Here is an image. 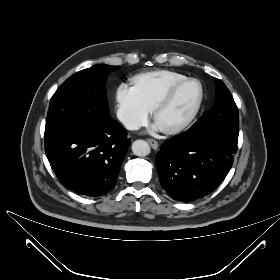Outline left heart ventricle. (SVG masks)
Returning <instances> with one entry per match:
<instances>
[{
	"label": "left heart ventricle",
	"instance_id": "1",
	"mask_svg": "<svg viewBox=\"0 0 280 280\" xmlns=\"http://www.w3.org/2000/svg\"><path fill=\"white\" fill-rule=\"evenodd\" d=\"M199 96V87L196 83H188L180 87L170 100L156 116V124L160 129L172 128L184 121Z\"/></svg>",
	"mask_w": 280,
	"mask_h": 280
}]
</instances>
